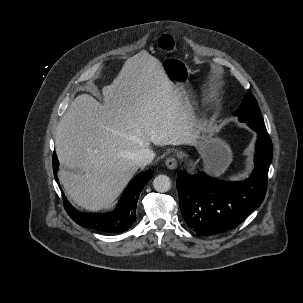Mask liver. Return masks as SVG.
Wrapping results in <instances>:
<instances>
[{"mask_svg": "<svg viewBox=\"0 0 303 303\" xmlns=\"http://www.w3.org/2000/svg\"><path fill=\"white\" fill-rule=\"evenodd\" d=\"M105 104L89 94L77 96L58 123L59 180L78 206L108 207L138 170L133 157L143 148L190 144L197 137L191 105L146 50L126 60ZM76 171V172H75Z\"/></svg>", "mask_w": 303, "mask_h": 303, "instance_id": "6515ba94", "label": "liver"}]
</instances>
